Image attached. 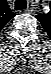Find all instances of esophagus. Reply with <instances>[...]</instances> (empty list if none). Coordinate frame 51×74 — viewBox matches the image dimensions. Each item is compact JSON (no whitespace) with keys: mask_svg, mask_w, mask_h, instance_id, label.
<instances>
[{"mask_svg":"<svg viewBox=\"0 0 51 74\" xmlns=\"http://www.w3.org/2000/svg\"><path fill=\"white\" fill-rule=\"evenodd\" d=\"M30 10H26L25 13H29Z\"/></svg>","mask_w":51,"mask_h":74,"instance_id":"obj_1","label":"esophagus"}]
</instances>
